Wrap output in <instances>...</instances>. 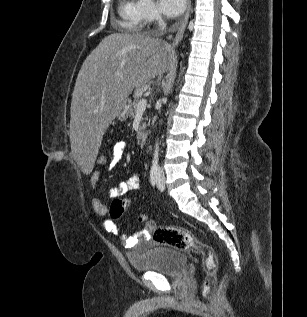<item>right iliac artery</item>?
<instances>
[{"label":"right iliac artery","instance_id":"82829eb1","mask_svg":"<svg viewBox=\"0 0 307 317\" xmlns=\"http://www.w3.org/2000/svg\"><path fill=\"white\" fill-rule=\"evenodd\" d=\"M158 176H159V169L157 166H153L150 170V182L153 187L157 184Z\"/></svg>","mask_w":307,"mask_h":317}]
</instances>
